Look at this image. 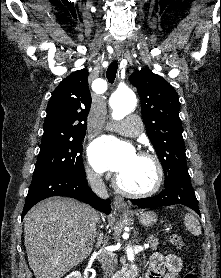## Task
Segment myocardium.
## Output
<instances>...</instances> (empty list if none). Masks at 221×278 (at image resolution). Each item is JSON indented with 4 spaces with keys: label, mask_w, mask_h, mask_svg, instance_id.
Instances as JSON below:
<instances>
[{
    "label": "myocardium",
    "mask_w": 221,
    "mask_h": 278,
    "mask_svg": "<svg viewBox=\"0 0 221 278\" xmlns=\"http://www.w3.org/2000/svg\"><path fill=\"white\" fill-rule=\"evenodd\" d=\"M137 155L142 156V157H146L148 159H150L154 166H155V170H156V179L155 182L153 184L152 187H150L147 190L144 191H135V190H131V189H127L125 188L118 176H116L113 180V185L114 187L123 195L125 196H129V197H150L155 195L162 187L163 182H164V168L163 165L160 161V159L158 158V156H156L154 153L147 151V150H139L137 152Z\"/></svg>",
    "instance_id": "obj_1"
}]
</instances>
